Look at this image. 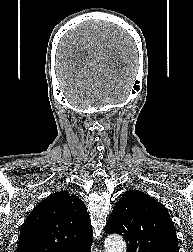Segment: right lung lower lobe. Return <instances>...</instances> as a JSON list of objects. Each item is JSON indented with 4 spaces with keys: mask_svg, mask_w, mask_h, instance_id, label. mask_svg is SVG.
I'll list each match as a JSON object with an SVG mask.
<instances>
[{
    "mask_svg": "<svg viewBox=\"0 0 193 252\" xmlns=\"http://www.w3.org/2000/svg\"><path fill=\"white\" fill-rule=\"evenodd\" d=\"M86 252H91V249L87 250Z\"/></svg>",
    "mask_w": 193,
    "mask_h": 252,
    "instance_id": "right-lung-lower-lobe-1",
    "label": "right lung lower lobe"
}]
</instances>
